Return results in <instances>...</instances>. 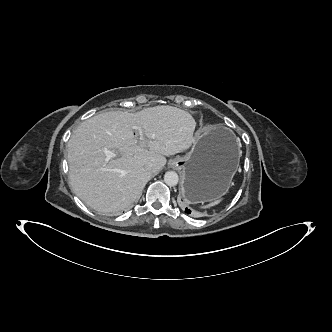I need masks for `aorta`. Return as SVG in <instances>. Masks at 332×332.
<instances>
[{
    "instance_id": "aorta-1",
    "label": "aorta",
    "mask_w": 332,
    "mask_h": 332,
    "mask_svg": "<svg viewBox=\"0 0 332 332\" xmlns=\"http://www.w3.org/2000/svg\"><path fill=\"white\" fill-rule=\"evenodd\" d=\"M164 181L168 186H175L179 181L178 174L175 171H168L164 175Z\"/></svg>"
}]
</instances>
